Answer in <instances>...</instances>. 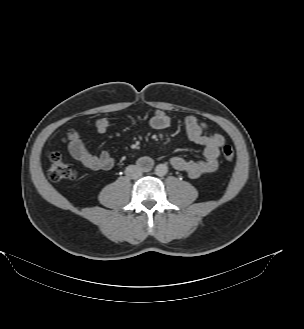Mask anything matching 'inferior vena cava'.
I'll use <instances>...</instances> for the list:
<instances>
[{"label":"inferior vena cava","mask_w":304,"mask_h":329,"mask_svg":"<svg viewBox=\"0 0 304 329\" xmlns=\"http://www.w3.org/2000/svg\"><path fill=\"white\" fill-rule=\"evenodd\" d=\"M125 174L131 179H137L142 176V169L136 165H129L125 170Z\"/></svg>","instance_id":"inferior-vena-cava-1"}]
</instances>
